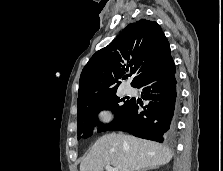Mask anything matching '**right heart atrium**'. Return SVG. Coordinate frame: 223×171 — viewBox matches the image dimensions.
Masks as SVG:
<instances>
[{"mask_svg":"<svg viewBox=\"0 0 223 171\" xmlns=\"http://www.w3.org/2000/svg\"><path fill=\"white\" fill-rule=\"evenodd\" d=\"M97 119L102 126H108L113 121V115L108 109H101L97 114Z\"/></svg>","mask_w":223,"mask_h":171,"instance_id":"obj_1","label":"right heart atrium"}]
</instances>
